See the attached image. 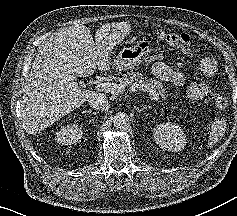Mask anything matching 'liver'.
I'll list each match as a JSON object with an SVG mask.
<instances>
[{
    "label": "liver",
    "instance_id": "6515ba94",
    "mask_svg": "<svg viewBox=\"0 0 237 216\" xmlns=\"http://www.w3.org/2000/svg\"><path fill=\"white\" fill-rule=\"evenodd\" d=\"M102 46L93 41L85 25L62 29L39 50L27 76L22 99L24 124L29 130L45 128L79 108L94 91L81 89L77 77L108 70Z\"/></svg>",
    "mask_w": 237,
    "mask_h": 216
}]
</instances>
